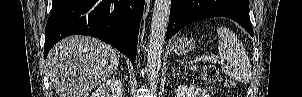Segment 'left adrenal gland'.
<instances>
[{"instance_id": "1", "label": "left adrenal gland", "mask_w": 302, "mask_h": 97, "mask_svg": "<svg viewBox=\"0 0 302 97\" xmlns=\"http://www.w3.org/2000/svg\"><path fill=\"white\" fill-rule=\"evenodd\" d=\"M180 73H178L177 71H175V68L172 67V77H176V76H179Z\"/></svg>"}]
</instances>
